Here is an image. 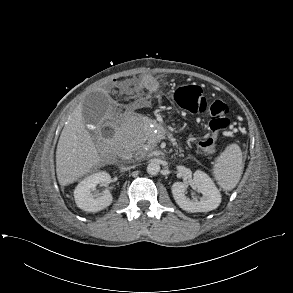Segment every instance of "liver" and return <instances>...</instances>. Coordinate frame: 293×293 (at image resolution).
Returning <instances> with one entry per match:
<instances>
[{
    "label": "liver",
    "instance_id": "6515ba94",
    "mask_svg": "<svg viewBox=\"0 0 293 293\" xmlns=\"http://www.w3.org/2000/svg\"><path fill=\"white\" fill-rule=\"evenodd\" d=\"M100 156L86 130L78 105L64 126L56 151V173L62 186L74 183L98 164Z\"/></svg>",
    "mask_w": 293,
    "mask_h": 293
}]
</instances>
